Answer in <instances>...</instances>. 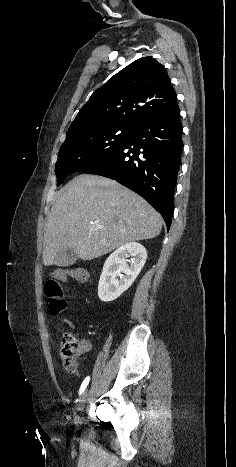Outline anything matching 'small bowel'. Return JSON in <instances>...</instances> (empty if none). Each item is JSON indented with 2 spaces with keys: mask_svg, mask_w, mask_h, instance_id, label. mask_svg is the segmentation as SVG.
Returning a JSON list of instances; mask_svg holds the SVG:
<instances>
[{
  "mask_svg": "<svg viewBox=\"0 0 236 467\" xmlns=\"http://www.w3.org/2000/svg\"><path fill=\"white\" fill-rule=\"evenodd\" d=\"M83 317H84V313L82 312V313L79 314L78 319L81 320V319H83ZM60 320H61L62 323L67 324L72 330H75V328H76L75 322L71 321L70 319H68L66 317H61ZM89 350H90V344L85 342L84 352H87Z\"/></svg>",
  "mask_w": 236,
  "mask_h": 467,
  "instance_id": "small-bowel-1",
  "label": "small bowel"
}]
</instances>
